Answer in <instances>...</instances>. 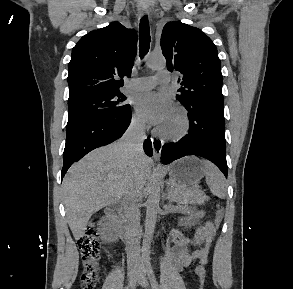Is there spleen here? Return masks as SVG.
<instances>
[{"mask_svg":"<svg viewBox=\"0 0 293 289\" xmlns=\"http://www.w3.org/2000/svg\"><path fill=\"white\" fill-rule=\"evenodd\" d=\"M205 168L206 183L213 195L224 199L227 193V184L223 174L211 162L202 161Z\"/></svg>","mask_w":293,"mask_h":289,"instance_id":"spleen-1","label":"spleen"}]
</instances>
